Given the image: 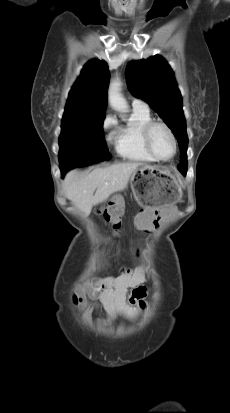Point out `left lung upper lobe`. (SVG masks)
Segmentation results:
<instances>
[{"label": "left lung upper lobe", "mask_w": 230, "mask_h": 413, "mask_svg": "<svg viewBox=\"0 0 230 413\" xmlns=\"http://www.w3.org/2000/svg\"><path fill=\"white\" fill-rule=\"evenodd\" d=\"M126 78L132 94L149 103L172 130L181 153L178 170L187 172L186 121L182 97L171 67L158 55L131 61L126 67Z\"/></svg>", "instance_id": "left-lung-upper-lobe-1"}]
</instances>
